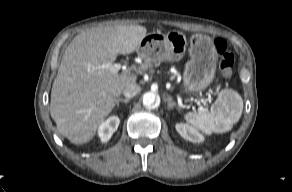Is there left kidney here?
<instances>
[{"label": "left kidney", "mask_w": 292, "mask_h": 192, "mask_svg": "<svg viewBox=\"0 0 292 192\" xmlns=\"http://www.w3.org/2000/svg\"><path fill=\"white\" fill-rule=\"evenodd\" d=\"M177 132L185 139L193 143H200L203 141V136L197 132L193 127L179 123L176 125Z\"/></svg>", "instance_id": "5707ae66"}]
</instances>
